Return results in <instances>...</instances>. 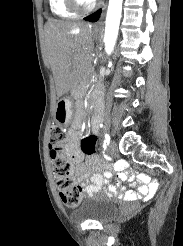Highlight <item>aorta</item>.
<instances>
[{
	"instance_id": "1",
	"label": "aorta",
	"mask_w": 183,
	"mask_h": 246,
	"mask_svg": "<svg viewBox=\"0 0 183 246\" xmlns=\"http://www.w3.org/2000/svg\"><path fill=\"white\" fill-rule=\"evenodd\" d=\"M122 3L123 0H109L104 34L105 51L108 55L112 53L117 40Z\"/></svg>"
}]
</instances>
